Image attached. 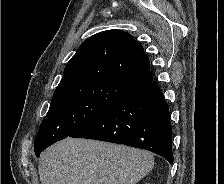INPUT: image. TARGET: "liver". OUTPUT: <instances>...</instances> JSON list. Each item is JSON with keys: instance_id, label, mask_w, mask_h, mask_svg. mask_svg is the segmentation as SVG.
Masks as SVG:
<instances>
[{"instance_id": "1", "label": "liver", "mask_w": 224, "mask_h": 184, "mask_svg": "<svg viewBox=\"0 0 224 184\" xmlns=\"http://www.w3.org/2000/svg\"><path fill=\"white\" fill-rule=\"evenodd\" d=\"M153 167L148 151L66 138L42 152L38 170L41 184H137Z\"/></svg>"}]
</instances>
